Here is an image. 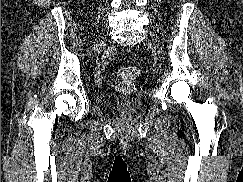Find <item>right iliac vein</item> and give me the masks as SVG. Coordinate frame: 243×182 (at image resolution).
Listing matches in <instances>:
<instances>
[{
	"label": "right iliac vein",
	"mask_w": 243,
	"mask_h": 182,
	"mask_svg": "<svg viewBox=\"0 0 243 182\" xmlns=\"http://www.w3.org/2000/svg\"><path fill=\"white\" fill-rule=\"evenodd\" d=\"M97 48V44L93 45L92 50H95Z\"/></svg>",
	"instance_id": "right-iliac-vein-1"
}]
</instances>
